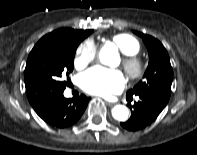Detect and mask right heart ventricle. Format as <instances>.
<instances>
[{"mask_svg":"<svg viewBox=\"0 0 197 155\" xmlns=\"http://www.w3.org/2000/svg\"><path fill=\"white\" fill-rule=\"evenodd\" d=\"M112 42L125 55H136L140 51L139 41L129 34H117L112 37Z\"/></svg>","mask_w":197,"mask_h":155,"instance_id":"e07e8e85","label":"right heart ventricle"}]
</instances>
